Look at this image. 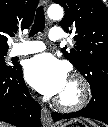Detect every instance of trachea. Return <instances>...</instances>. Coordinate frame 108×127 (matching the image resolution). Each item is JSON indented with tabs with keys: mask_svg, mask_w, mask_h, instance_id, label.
Wrapping results in <instances>:
<instances>
[{
	"mask_svg": "<svg viewBox=\"0 0 108 127\" xmlns=\"http://www.w3.org/2000/svg\"><path fill=\"white\" fill-rule=\"evenodd\" d=\"M45 29V15L43 6H39L36 12L34 24L30 30L29 36H34L38 32H43Z\"/></svg>",
	"mask_w": 108,
	"mask_h": 127,
	"instance_id": "obj_1",
	"label": "trachea"
}]
</instances>
